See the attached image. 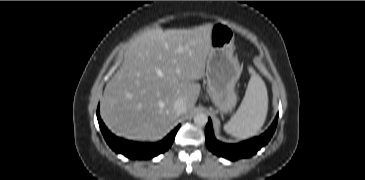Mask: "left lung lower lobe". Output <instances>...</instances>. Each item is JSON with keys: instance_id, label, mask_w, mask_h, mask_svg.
I'll return each mask as SVG.
<instances>
[{"instance_id": "0a47b994", "label": "left lung lower lobe", "mask_w": 365, "mask_h": 180, "mask_svg": "<svg viewBox=\"0 0 365 180\" xmlns=\"http://www.w3.org/2000/svg\"><path fill=\"white\" fill-rule=\"evenodd\" d=\"M277 121L278 115L276 116L270 128L259 137H255L239 144H225L215 139L212 129V123L209 119L205 129L207 147L216 155L230 160L250 157L256 154L261 147L269 142L276 129Z\"/></svg>"}]
</instances>
